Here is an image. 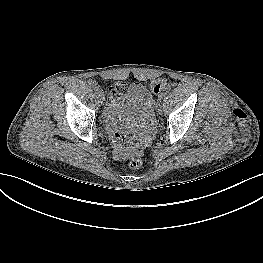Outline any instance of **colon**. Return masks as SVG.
I'll use <instances>...</instances> for the list:
<instances>
[{
  "mask_svg": "<svg viewBox=\"0 0 263 263\" xmlns=\"http://www.w3.org/2000/svg\"><path fill=\"white\" fill-rule=\"evenodd\" d=\"M164 84L162 82H155L153 88L155 91H160L163 88ZM140 98V102L144 104V99ZM110 130L111 127H109ZM112 141L117 143L120 142L124 139V136L118 132H113L112 133ZM143 164V159L141 157V153L136 154V157H133L130 162H129V166L133 169H138L142 166Z\"/></svg>",
  "mask_w": 263,
  "mask_h": 263,
  "instance_id": "5ec220e1",
  "label": "colon"
}]
</instances>
